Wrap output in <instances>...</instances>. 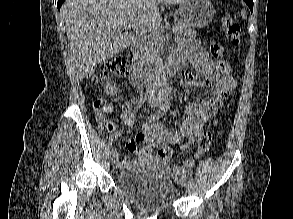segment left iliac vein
Segmentation results:
<instances>
[{"label": "left iliac vein", "instance_id": "left-iliac-vein-1", "mask_svg": "<svg viewBox=\"0 0 293 219\" xmlns=\"http://www.w3.org/2000/svg\"><path fill=\"white\" fill-rule=\"evenodd\" d=\"M186 191L189 190V186H190V183H189V179H188V176L187 175H184V183H183Z\"/></svg>", "mask_w": 293, "mask_h": 219}]
</instances>
